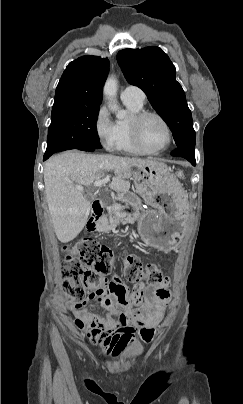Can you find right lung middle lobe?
Returning <instances> with one entry per match:
<instances>
[{
	"label": "right lung middle lobe",
	"instance_id": "1",
	"mask_svg": "<svg viewBox=\"0 0 243 404\" xmlns=\"http://www.w3.org/2000/svg\"><path fill=\"white\" fill-rule=\"evenodd\" d=\"M99 106L66 105L52 109L44 160L64 150L102 148L96 129Z\"/></svg>",
	"mask_w": 243,
	"mask_h": 404
}]
</instances>
